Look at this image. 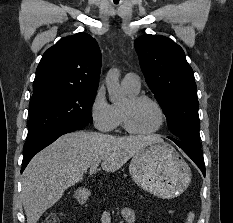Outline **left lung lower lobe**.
<instances>
[{"label":"left lung lower lobe","instance_id":"1","mask_svg":"<svg viewBox=\"0 0 233 223\" xmlns=\"http://www.w3.org/2000/svg\"><path fill=\"white\" fill-rule=\"evenodd\" d=\"M176 144L194 161V163L200 168L203 175L205 176L206 170L201 146H192L180 143Z\"/></svg>","mask_w":233,"mask_h":223}]
</instances>
